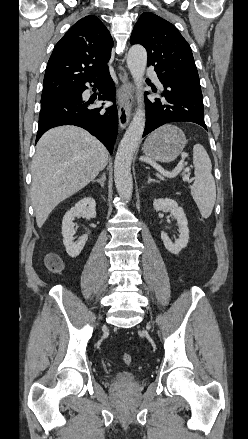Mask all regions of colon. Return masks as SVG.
Instances as JSON below:
<instances>
[{"label": "colon", "instance_id": "colon-1", "mask_svg": "<svg viewBox=\"0 0 248 439\" xmlns=\"http://www.w3.org/2000/svg\"><path fill=\"white\" fill-rule=\"evenodd\" d=\"M45 265L49 272L51 273H59L63 269L62 260L53 253H50L46 256ZM122 361L124 364L129 365L132 362V356L128 353H124L122 355Z\"/></svg>", "mask_w": 248, "mask_h": 439}]
</instances>
